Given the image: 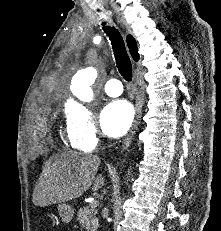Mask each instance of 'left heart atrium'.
Masks as SVG:
<instances>
[{"instance_id": "39dd6f15", "label": "left heart atrium", "mask_w": 221, "mask_h": 231, "mask_svg": "<svg viewBox=\"0 0 221 231\" xmlns=\"http://www.w3.org/2000/svg\"><path fill=\"white\" fill-rule=\"evenodd\" d=\"M133 120V110L124 100L109 102L101 114L103 132L111 137H120L126 133Z\"/></svg>"}]
</instances>
